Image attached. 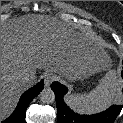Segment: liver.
<instances>
[{
    "mask_svg": "<svg viewBox=\"0 0 123 123\" xmlns=\"http://www.w3.org/2000/svg\"><path fill=\"white\" fill-rule=\"evenodd\" d=\"M96 41L47 15H25L1 25V121L15 109L21 94L36 81V70L70 80L96 71L101 54ZM28 72L29 81L21 75Z\"/></svg>",
    "mask_w": 123,
    "mask_h": 123,
    "instance_id": "1",
    "label": "liver"
}]
</instances>
